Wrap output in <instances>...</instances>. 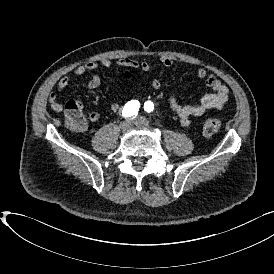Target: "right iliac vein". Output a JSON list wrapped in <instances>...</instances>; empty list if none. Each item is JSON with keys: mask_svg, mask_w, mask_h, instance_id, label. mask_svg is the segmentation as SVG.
Returning a JSON list of instances; mask_svg holds the SVG:
<instances>
[{"mask_svg": "<svg viewBox=\"0 0 274 274\" xmlns=\"http://www.w3.org/2000/svg\"><path fill=\"white\" fill-rule=\"evenodd\" d=\"M132 126H133V121L131 119H127L120 124V128L122 132L128 131Z\"/></svg>", "mask_w": 274, "mask_h": 274, "instance_id": "1", "label": "right iliac vein"}]
</instances>
